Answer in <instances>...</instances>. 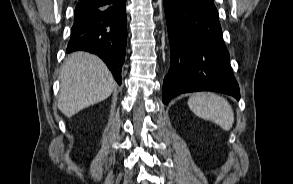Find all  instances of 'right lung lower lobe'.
I'll return each mask as SVG.
<instances>
[{"label": "right lung lower lobe", "mask_w": 293, "mask_h": 184, "mask_svg": "<svg viewBox=\"0 0 293 184\" xmlns=\"http://www.w3.org/2000/svg\"><path fill=\"white\" fill-rule=\"evenodd\" d=\"M109 3L105 7L76 6L67 52L84 50L98 55L120 85L127 41L126 0Z\"/></svg>", "instance_id": "right-lung-lower-lobe-1"}]
</instances>
